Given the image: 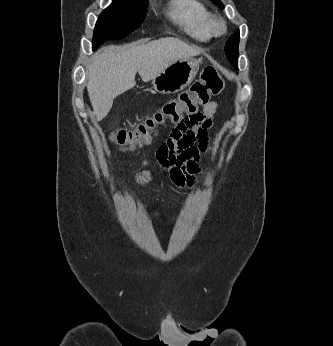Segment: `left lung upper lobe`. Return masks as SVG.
<instances>
[{
	"instance_id": "left-lung-upper-lobe-1",
	"label": "left lung upper lobe",
	"mask_w": 333,
	"mask_h": 346,
	"mask_svg": "<svg viewBox=\"0 0 333 346\" xmlns=\"http://www.w3.org/2000/svg\"><path fill=\"white\" fill-rule=\"evenodd\" d=\"M213 3L218 5L220 8H224L223 3L220 0H211ZM238 45H239V33H234L229 41L225 45V53L228 57L229 62L237 69L238 63Z\"/></svg>"
}]
</instances>
